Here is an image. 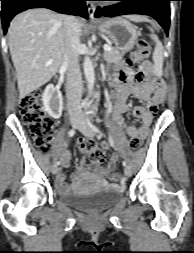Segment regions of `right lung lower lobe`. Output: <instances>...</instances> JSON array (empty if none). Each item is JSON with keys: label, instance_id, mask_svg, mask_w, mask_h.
Returning <instances> with one entry per match:
<instances>
[{"label": "right lung lower lobe", "instance_id": "1", "mask_svg": "<svg viewBox=\"0 0 194 253\" xmlns=\"http://www.w3.org/2000/svg\"><path fill=\"white\" fill-rule=\"evenodd\" d=\"M2 1V25L6 34L12 18L27 9L48 8L63 14H71L87 18V0H0Z\"/></svg>", "mask_w": 194, "mask_h": 253}]
</instances>
